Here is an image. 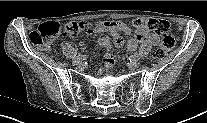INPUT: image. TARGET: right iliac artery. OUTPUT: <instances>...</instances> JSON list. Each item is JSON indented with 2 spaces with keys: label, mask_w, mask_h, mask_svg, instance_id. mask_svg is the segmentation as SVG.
<instances>
[{
  "label": "right iliac artery",
  "mask_w": 207,
  "mask_h": 123,
  "mask_svg": "<svg viewBox=\"0 0 207 123\" xmlns=\"http://www.w3.org/2000/svg\"><path fill=\"white\" fill-rule=\"evenodd\" d=\"M86 58V55H81V54H79L77 57H75L74 59H73V63H75L76 61H78V60H84Z\"/></svg>",
  "instance_id": "obj_1"
}]
</instances>
